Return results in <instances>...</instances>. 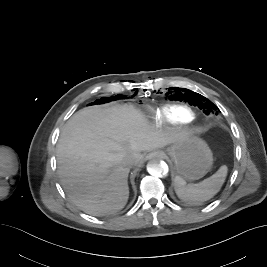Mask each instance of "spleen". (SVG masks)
<instances>
[{"label": "spleen", "mask_w": 267, "mask_h": 267, "mask_svg": "<svg viewBox=\"0 0 267 267\" xmlns=\"http://www.w3.org/2000/svg\"><path fill=\"white\" fill-rule=\"evenodd\" d=\"M227 166H221L211 177L198 184H187L180 176L174 178V187L177 196L183 201L202 202L216 195L227 176Z\"/></svg>", "instance_id": "spleen-1"}]
</instances>
